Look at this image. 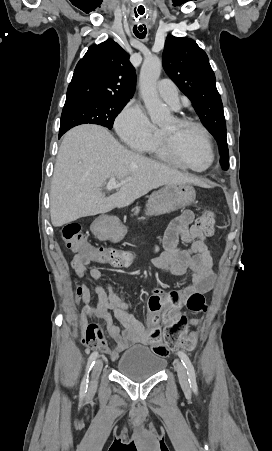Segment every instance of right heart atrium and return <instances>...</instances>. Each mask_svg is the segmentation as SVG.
<instances>
[{"instance_id": "right-heart-atrium-1", "label": "right heart atrium", "mask_w": 272, "mask_h": 451, "mask_svg": "<svg viewBox=\"0 0 272 451\" xmlns=\"http://www.w3.org/2000/svg\"><path fill=\"white\" fill-rule=\"evenodd\" d=\"M116 126L123 139L138 148L151 142L157 132L145 110L135 103H129L124 108L116 120Z\"/></svg>"}]
</instances>
